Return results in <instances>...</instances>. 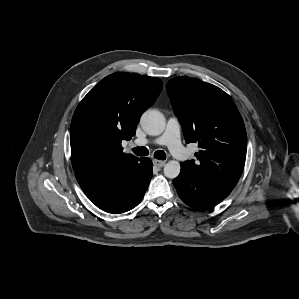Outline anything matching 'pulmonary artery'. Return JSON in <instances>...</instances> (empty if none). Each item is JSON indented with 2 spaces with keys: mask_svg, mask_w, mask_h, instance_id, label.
<instances>
[{
  "mask_svg": "<svg viewBox=\"0 0 299 299\" xmlns=\"http://www.w3.org/2000/svg\"><path fill=\"white\" fill-rule=\"evenodd\" d=\"M148 144L166 145L176 158L184 159L187 157V152L180 141V124L175 117L168 119L166 129L161 136L152 140L140 138L133 143L134 146H146Z\"/></svg>",
  "mask_w": 299,
  "mask_h": 299,
  "instance_id": "1",
  "label": "pulmonary artery"
}]
</instances>
